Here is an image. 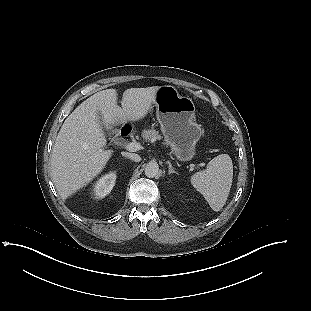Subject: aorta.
Listing matches in <instances>:
<instances>
[{"label": "aorta", "mask_w": 311, "mask_h": 311, "mask_svg": "<svg viewBox=\"0 0 311 311\" xmlns=\"http://www.w3.org/2000/svg\"><path fill=\"white\" fill-rule=\"evenodd\" d=\"M159 165L156 162H149L145 167V175L148 178H156L159 176Z\"/></svg>", "instance_id": "762f6f07"}]
</instances>
